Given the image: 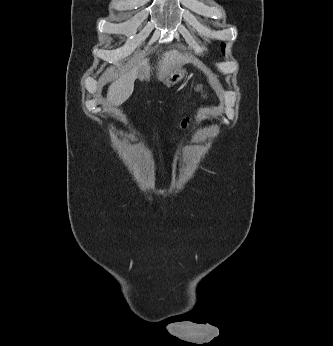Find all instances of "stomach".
<instances>
[{
    "label": "stomach",
    "instance_id": "1",
    "mask_svg": "<svg viewBox=\"0 0 333 346\" xmlns=\"http://www.w3.org/2000/svg\"><path fill=\"white\" fill-rule=\"evenodd\" d=\"M186 73V69L182 66H179L163 78V83L168 87H170L171 85H175L185 77Z\"/></svg>",
    "mask_w": 333,
    "mask_h": 346
}]
</instances>
